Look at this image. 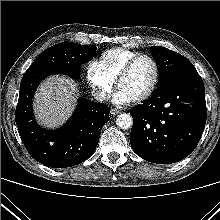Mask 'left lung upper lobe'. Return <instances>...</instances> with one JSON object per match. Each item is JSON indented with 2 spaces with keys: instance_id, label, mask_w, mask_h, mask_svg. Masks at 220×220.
<instances>
[{
  "instance_id": "5c2ea615",
  "label": "left lung upper lobe",
  "mask_w": 220,
  "mask_h": 220,
  "mask_svg": "<svg viewBox=\"0 0 220 220\" xmlns=\"http://www.w3.org/2000/svg\"><path fill=\"white\" fill-rule=\"evenodd\" d=\"M151 53L159 71V84H163L175 73L195 68L184 56L160 46L151 47Z\"/></svg>"
}]
</instances>
